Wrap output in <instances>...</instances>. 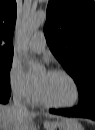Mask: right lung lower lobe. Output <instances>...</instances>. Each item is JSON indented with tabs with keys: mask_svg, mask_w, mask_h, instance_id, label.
Masks as SVG:
<instances>
[{
	"mask_svg": "<svg viewBox=\"0 0 95 130\" xmlns=\"http://www.w3.org/2000/svg\"><path fill=\"white\" fill-rule=\"evenodd\" d=\"M11 94V89H0V102L1 103H7Z\"/></svg>",
	"mask_w": 95,
	"mask_h": 130,
	"instance_id": "98d812e1",
	"label": "right lung lower lobe"
}]
</instances>
